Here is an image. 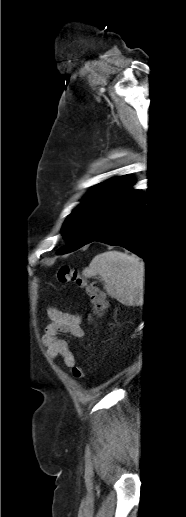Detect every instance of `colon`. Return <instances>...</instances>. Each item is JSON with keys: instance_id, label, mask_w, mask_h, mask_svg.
<instances>
[{"instance_id": "5ec220e1", "label": "colon", "mask_w": 186, "mask_h": 517, "mask_svg": "<svg viewBox=\"0 0 186 517\" xmlns=\"http://www.w3.org/2000/svg\"><path fill=\"white\" fill-rule=\"evenodd\" d=\"M56 278L61 284H74L84 289L92 304V312L87 317L89 322H93L105 312L107 300L104 292L95 283L89 282L82 275L79 268L64 265L58 270ZM72 374L76 379L83 378L85 374L84 366L74 365L72 367Z\"/></svg>"}]
</instances>
